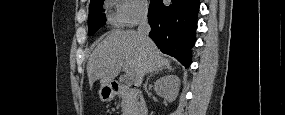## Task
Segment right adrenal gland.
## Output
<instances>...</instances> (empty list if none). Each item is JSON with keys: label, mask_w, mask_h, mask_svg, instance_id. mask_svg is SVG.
<instances>
[{"label": "right adrenal gland", "mask_w": 285, "mask_h": 115, "mask_svg": "<svg viewBox=\"0 0 285 115\" xmlns=\"http://www.w3.org/2000/svg\"><path fill=\"white\" fill-rule=\"evenodd\" d=\"M163 69H166V70H168V71H170V72L173 71V69H172L170 66H166V67H164V68H161L160 70H156V71L150 73V75L147 77V80H146V82H145V86H147L148 81L150 80V78H151L153 75L158 74L159 71H162Z\"/></svg>", "instance_id": "right-adrenal-gland-1"}]
</instances>
